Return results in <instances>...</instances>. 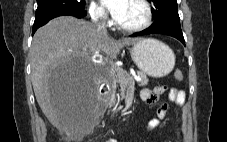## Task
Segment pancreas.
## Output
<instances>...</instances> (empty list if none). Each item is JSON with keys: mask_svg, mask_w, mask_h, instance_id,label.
Here are the masks:
<instances>
[{"mask_svg": "<svg viewBox=\"0 0 227 142\" xmlns=\"http://www.w3.org/2000/svg\"><path fill=\"white\" fill-rule=\"evenodd\" d=\"M121 71V75L116 76V83L119 84V92L121 99H124L127 95V90L130 88V85L134 83L133 76L121 69H117ZM137 76L141 78L139 81L140 86H146L148 84V78L145 73L142 71H137Z\"/></svg>", "mask_w": 227, "mask_h": 142, "instance_id": "1", "label": "pancreas"}]
</instances>
